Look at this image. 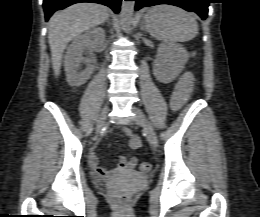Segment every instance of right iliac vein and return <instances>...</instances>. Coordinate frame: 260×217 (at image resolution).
<instances>
[{
	"mask_svg": "<svg viewBox=\"0 0 260 217\" xmlns=\"http://www.w3.org/2000/svg\"><path fill=\"white\" fill-rule=\"evenodd\" d=\"M107 113H108V105L106 104L102 110L101 117H100V120H99L97 128H96L97 135L100 133V131L106 121Z\"/></svg>",
	"mask_w": 260,
	"mask_h": 217,
	"instance_id": "1",
	"label": "right iliac vein"
}]
</instances>
